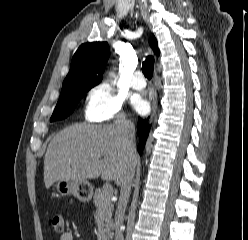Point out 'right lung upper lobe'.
<instances>
[{"label":"right lung upper lobe","mask_w":248,"mask_h":240,"mask_svg":"<svg viewBox=\"0 0 248 240\" xmlns=\"http://www.w3.org/2000/svg\"><path fill=\"white\" fill-rule=\"evenodd\" d=\"M149 43L156 55H159L157 40L153 36ZM110 49L107 42L82 44L75 52L70 71L65 78L62 89L69 87L92 88L99 84L109 58Z\"/></svg>","instance_id":"right-lung-upper-lobe-1"}]
</instances>
